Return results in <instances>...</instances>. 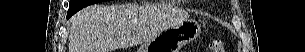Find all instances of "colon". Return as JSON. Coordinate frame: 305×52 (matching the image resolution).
Wrapping results in <instances>:
<instances>
[{
  "label": "colon",
  "instance_id": "colon-1",
  "mask_svg": "<svg viewBox=\"0 0 305 52\" xmlns=\"http://www.w3.org/2000/svg\"><path fill=\"white\" fill-rule=\"evenodd\" d=\"M210 48L212 52H224V46L220 40L212 41Z\"/></svg>",
  "mask_w": 305,
  "mask_h": 52
}]
</instances>
